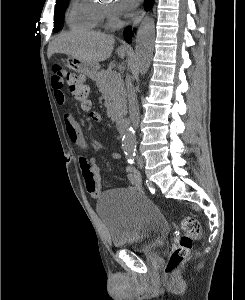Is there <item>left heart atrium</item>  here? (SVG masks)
<instances>
[{"label":"left heart atrium","mask_w":245,"mask_h":300,"mask_svg":"<svg viewBox=\"0 0 245 300\" xmlns=\"http://www.w3.org/2000/svg\"><path fill=\"white\" fill-rule=\"evenodd\" d=\"M120 2L122 4L123 11L127 12L132 10L137 5L139 0H120Z\"/></svg>","instance_id":"1"}]
</instances>
